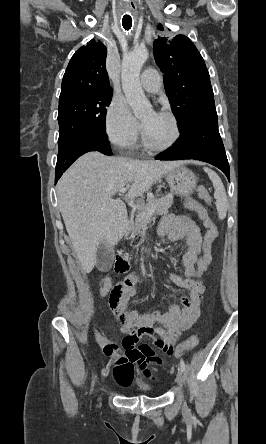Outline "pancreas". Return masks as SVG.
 <instances>
[{
    "instance_id": "pancreas-1",
    "label": "pancreas",
    "mask_w": 266,
    "mask_h": 444,
    "mask_svg": "<svg viewBox=\"0 0 266 444\" xmlns=\"http://www.w3.org/2000/svg\"><path fill=\"white\" fill-rule=\"evenodd\" d=\"M173 204V194L169 193L160 199H149L146 204H142L139 206V214H146L152 206H156L155 211L152 215H163L168 213L170 207ZM151 216L144 218L141 216H137L134 221H132V233L134 235L139 234L145 227L146 222L151 219Z\"/></svg>"
}]
</instances>
